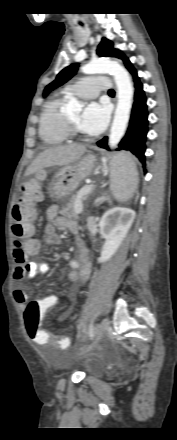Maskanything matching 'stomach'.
Masks as SVG:
<instances>
[{
    "label": "stomach",
    "instance_id": "stomach-1",
    "mask_svg": "<svg viewBox=\"0 0 177 440\" xmlns=\"http://www.w3.org/2000/svg\"><path fill=\"white\" fill-rule=\"evenodd\" d=\"M116 161H123L121 154L114 157L112 164ZM97 165V158L92 154H88L78 161L58 169L49 184L48 193L50 197L56 200H62L70 196L78 187L79 183L96 169ZM122 165L123 162L119 164L120 167ZM41 173V170L37 171V177H39Z\"/></svg>",
    "mask_w": 177,
    "mask_h": 440
}]
</instances>
